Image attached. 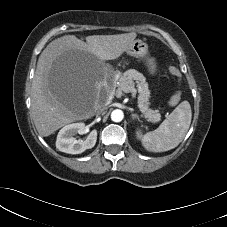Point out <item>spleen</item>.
<instances>
[{"label":"spleen","mask_w":227,"mask_h":227,"mask_svg":"<svg viewBox=\"0 0 227 227\" xmlns=\"http://www.w3.org/2000/svg\"><path fill=\"white\" fill-rule=\"evenodd\" d=\"M191 118L189 102H181L156 130L143 136V146L150 152H165L177 147L190 127Z\"/></svg>","instance_id":"spleen-1"}]
</instances>
